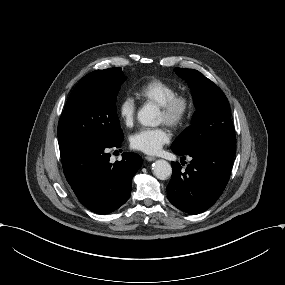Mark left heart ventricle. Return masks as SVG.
Returning <instances> with one entry per match:
<instances>
[{
    "label": "left heart ventricle",
    "mask_w": 285,
    "mask_h": 285,
    "mask_svg": "<svg viewBox=\"0 0 285 285\" xmlns=\"http://www.w3.org/2000/svg\"><path fill=\"white\" fill-rule=\"evenodd\" d=\"M157 121L158 123H165V116L164 114L161 112V110H158V113H157Z\"/></svg>",
    "instance_id": "obj_1"
}]
</instances>
